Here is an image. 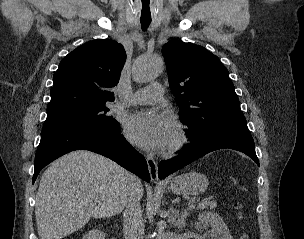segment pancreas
<instances>
[{
  "instance_id": "1",
  "label": "pancreas",
  "mask_w": 304,
  "mask_h": 239,
  "mask_svg": "<svg viewBox=\"0 0 304 239\" xmlns=\"http://www.w3.org/2000/svg\"><path fill=\"white\" fill-rule=\"evenodd\" d=\"M217 205L216 200L213 199V197H209L205 199L204 201L200 202L197 206V210H204V209H214Z\"/></svg>"
}]
</instances>
